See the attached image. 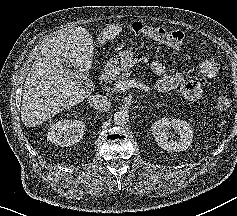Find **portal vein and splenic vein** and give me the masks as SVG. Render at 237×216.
I'll use <instances>...</instances> for the list:
<instances>
[{"label": "portal vein and splenic vein", "instance_id": "obj_1", "mask_svg": "<svg viewBox=\"0 0 237 216\" xmlns=\"http://www.w3.org/2000/svg\"><path fill=\"white\" fill-rule=\"evenodd\" d=\"M130 83H131V85L128 82H124V81L119 82L118 81L114 84L113 91L119 93L123 90L129 89V88L133 87V83L131 81H130Z\"/></svg>", "mask_w": 237, "mask_h": 216}]
</instances>
